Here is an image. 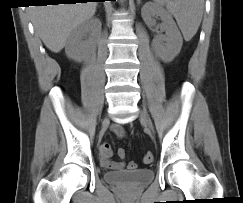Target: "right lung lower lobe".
<instances>
[{
    "label": "right lung lower lobe",
    "mask_w": 243,
    "mask_h": 203,
    "mask_svg": "<svg viewBox=\"0 0 243 203\" xmlns=\"http://www.w3.org/2000/svg\"><path fill=\"white\" fill-rule=\"evenodd\" d=\"M42 1H48V0H40L41 4H44ZM61 1H62L61 3H69L70 4V3H76V1H86V0H61ZM95 1L99 2V1H105V0H95ZM111 1H116V0H111Z\"/></svg>",
    "instance_id": "right-lung-lower-lobe-1"
}]
</instances>
